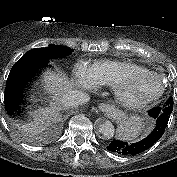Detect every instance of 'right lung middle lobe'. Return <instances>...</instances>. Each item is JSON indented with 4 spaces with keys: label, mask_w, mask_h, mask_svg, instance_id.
<instances>
[{
    "label": "right lung middle lobe",
    "mask_w": 177,
    "mask_h": 177,
    "mask_svg": "<svg viewBox=\"0 0 177 177\" xmlns=\"http://www.w3.org/2000/svg\"><path fill=\"white\" fill-rule=\"evenodd\" d=\"M73 52L72 49L61 45H49L46 48H35L28 51L25 55H35L46 58L65 57Z\"/></svg>",
    "instance_id": "right-lung-middle-lobe-1"
}]
</instances>
